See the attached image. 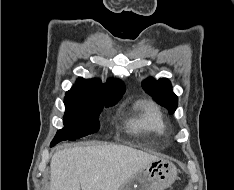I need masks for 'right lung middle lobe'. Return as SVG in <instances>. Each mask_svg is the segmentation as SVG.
Here are the masks:
<instances>
[{
    "mask_svg": "<svg viewBox=\"0 0 234 190\" xmlns=\"http://www.w3.org/2000/svg\"><path fill=\"white\" fill-rule=\"evenodd\" d=\"M66 112L63 117L64 128L58 130L51 147L62 140L74 141L99 129V115L104 107L115 103H92L78 100H64Z\"/></svg>",
    "mask_w": 234,
    "mask_h": 190,
    "instance_id": "1",
    "label": "right lung middle lobe"
}]
</instances>
